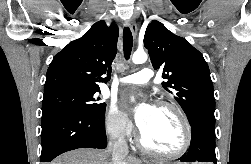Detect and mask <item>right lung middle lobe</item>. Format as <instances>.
I'll use <instances>...</instances> for the list:
<instances>
[{
    "label": "right lung middle lobe",
    "mask_w": 251,
    "mask_h": 164,
    "mask_svg": "<svg viewBox=\"0 0 251 164\" xmlns=\"http://www.w3.org/2000/svg\"><path fill=\"white\" fill-rule=\"evenodd\" d=\"M99 90H86L75 87H59L44 91L42 113L55 110H71L90 114H101L106 104L98 103Z\"/></svg>",
    "instance_id": "dd1d6c3e"
}]
</instances>
